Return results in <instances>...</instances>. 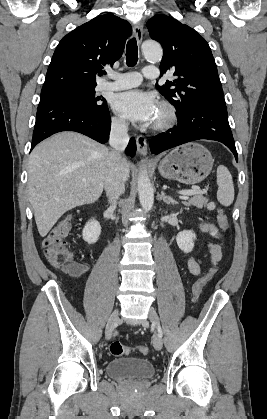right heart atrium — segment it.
Segmentation results:
<instances>
[{"instance_id":"obj_1","label":"right heart atrium","mask_w":267,"mask_h":419,"mask_svg":"<svg viewBox=\"0 0 267 419\" xmlns=\"http://www.w3.org/2000/svg\"><path fill=\"white\" fill-rule=\"evenodd\" d=\"M112 126L114 129L119 130V131H123L126 129V122L122 117L119 116H114L112 118Z\"/></svg>"}]
</instances>
